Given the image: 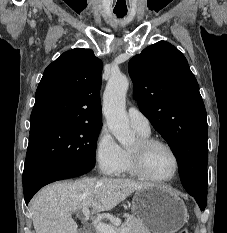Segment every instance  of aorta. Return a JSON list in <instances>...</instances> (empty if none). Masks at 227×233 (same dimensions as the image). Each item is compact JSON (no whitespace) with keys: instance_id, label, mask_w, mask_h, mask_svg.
I'll list each match as a JSON object with an SVG mask.
<instances>
[{"instance_id":"762f6f07","label":"aorta","mask_w":227,"mask_h":233,"mask_svg":"<svg viewBox=\"0 0 227 233\" xmlns=\"http://www.w3.org/2000/svg\"><path fill=\"white\" fill-rule=\"evenodd\" d=\"M129 87L128 78L123 74H112L103 96V112L107 125L123 146L135 140V133L130 129L125 110V98Z\"/></svg>"}]
</instances>
